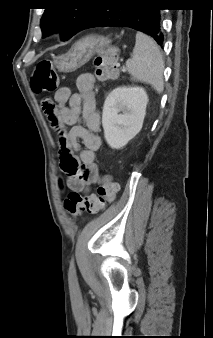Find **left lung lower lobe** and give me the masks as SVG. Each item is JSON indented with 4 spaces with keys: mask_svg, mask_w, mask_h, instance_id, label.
I'll use <instances>...</instances> for the list:
<instances>
[{
    "mask_svg": "<svg viewBox=\"0 0 213 338\" xmlns=\"http://www.w3.org/2000/svg\"><path fill=\"white\" fill-rule=\"evenodd\" d=\"M153 0H105L88 17L82 28L125 26L144 32L162 46L160 8Z\"/></svg>",
    "mask_w": 213,
    "mask_h": 338,
    "instance_id": "obj_1",
    "label": "left lung lower lobe"
}]
</instances>
